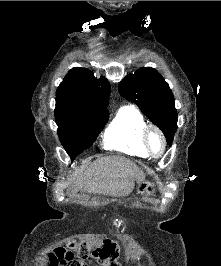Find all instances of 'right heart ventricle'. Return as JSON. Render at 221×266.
I'll return each mask as SVG.
<instances>
[{"label": "right heart ventricle", "instance_id": "1", "mask_svg": "<svg viewBox=\"0 0 221 266\" xmlns=\"http://www.w3.org/2000/svg\"><path fill=\"white\" fill-rule=\"evenodd\" d=\"M147 122L139 110L132 106L121 108L104 132L106 148L129 155L149 157L143 142Z\"/></svg>", "mask_w": 221, "mask_h": 266}]
</instances>
